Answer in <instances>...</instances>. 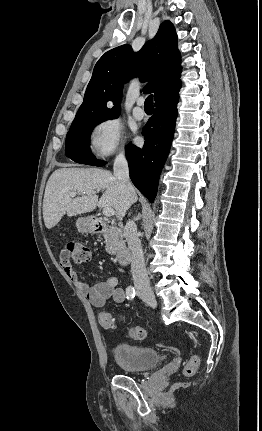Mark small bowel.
<instances>
[{"label":"small bowel","instance_id":"small-bowel-1","mask_svg":"<svg viewBox=\"0 0 262 431\" xmlns=\"http://www.w3.org/2000/svg\"><path fill=\"white\" fill-rule=\"evenodd\" d=\"M60 265L69 280L87 296L92 306L104 308L109 298H112L116 304H122L126 301L127 293L125 289L117 286V277L107 278L92 287H88L87 283L81 279L72 265L63 261L60 262Z\"/></svg>","mask_w":262,"mask_h":431}]
</instances>
